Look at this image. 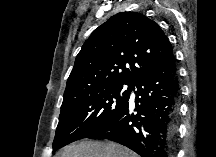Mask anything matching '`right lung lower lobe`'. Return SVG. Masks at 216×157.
I'll use <instances>...</instances> for the list:
<instances>
[{"mask_svg":"<svg viewBox=\"0 0 216 157\" xmlns=\"http://www.w3.org/2000/svg\"><path fill=\"white\" fill-rule=\"evenodd\" d=\"M131 90L136 94L135 103L128 99L109 123L87 138L115 141L141 157H173L180 98L173 52L135 80Z\"/></svg>","mask_w":216,"mask_h":157,"instance_id":"1","label":"right lung lower lobe"}]
</instances>
